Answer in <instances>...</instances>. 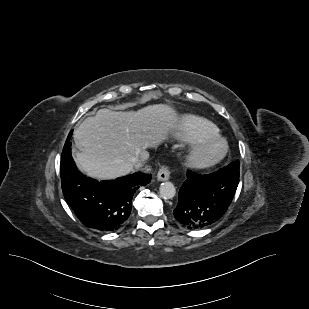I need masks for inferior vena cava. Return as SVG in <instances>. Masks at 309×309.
<instances>
[{"mask_svg":"<svg viewBox=\"0 0 309 309\" xmlns=\"http://www.w3.org/2000/svg\"><path fill=\"white\" fill-rule=\"evenodd\" d=\"M129 161L135 167H140L141 166V163H140L141 159H140L139 156L131 157Z\"/></svg>","mask_w":309,"mask_h":309,"instance_id":"inferior-vena-cava-1","label":"inferior vena cava"}]
</instances>
